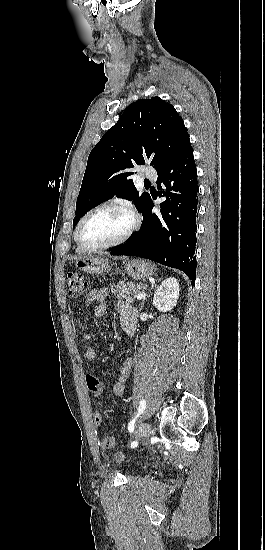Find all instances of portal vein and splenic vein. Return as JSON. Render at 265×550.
I'll list each match as a JSON object with an SVG mask.
<instances>
[{
	"mask_svg": "<svg viewBox=\"0 0 265 550\" xmlns=\"http://www.w3.org/2000/svg\"><path fill=\"white\" fill-rule=\"evenodd\" d=\"M145 296H146L145 293L142 292V293H139V294L137 295L136 298H137L138 300H142V299L145 298Z\"/></svg>",
	"mask_w": 265,
	"mask_h": 550,
	"instance_id": "18ae733b",
	"label": "portal vein and splenic vein"
}]
</instances>
